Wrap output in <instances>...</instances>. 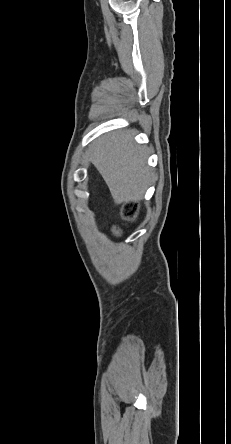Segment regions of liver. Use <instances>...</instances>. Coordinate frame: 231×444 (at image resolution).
I'll return each instance as SVG.
<instances>
[{
	"instance_id": "obj_1",
	"label": "liver",
	"mask_w": 231,
	"mask_h": 444,
	"mask_svg": "<svg viewBox=\"0 0 231 444\" xmlns=\"http://www.w3.org/2000/svg\"><path fill=\"white\" fill-rule=\"evenodd\" d=\"M133 135L130 130L109 133L90 147V160L118 203L141 200L153 181L146 148L136 145Z\"/></svg>"
}]
</instances>
